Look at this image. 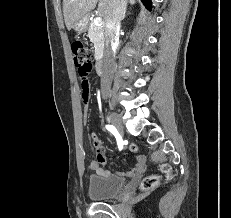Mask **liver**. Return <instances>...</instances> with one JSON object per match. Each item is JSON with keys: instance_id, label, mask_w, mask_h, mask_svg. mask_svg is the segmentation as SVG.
I'll return each instance as SVG.
<instances>
[{"instance_id": "liver-1", "label": "liver", "mask_w": 231, "mask_h": 218, "mask_svg": "<svg viewBox=\"0 0 231 218\" xmlns=\"http://www.w3.org/2000/svg\"><path fill=\"white\" fill-rule=\"evenodd\" d=\"M111 0H99L98 14L106 18L110 9ZM98 0H63V14L65 24L68 30L80 19L86 18L91 10L97 5ZM131 4L135 0H130Z\"/></svg>"}]
</instances>
